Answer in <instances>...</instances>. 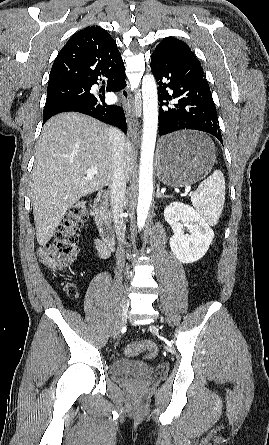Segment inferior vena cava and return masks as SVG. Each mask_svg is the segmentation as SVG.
Listing matches in <instances>:
<instances>
[{
    "instance_id": "1",
    "label": "inferior vena cava",
    "mask_w": 269,
    "mask_h": 445,
    "mask_svg": "<svg viewBox=\"0 0 269 445\" xmlns=\"http://www.w3.org/2000/svg\"><path fill=\"white\" fill-rule=\"evenodd\" d=\"M112 137V160H113V176L110 188V198L113 211V220L118 242L120 243V253H124L123 245L125 241V227L122 217L123 202L126 193V177L124 172V145L126 138L119 129L112 128L110 130Z\"/></svg>"
}]
</instances>
